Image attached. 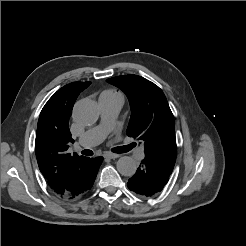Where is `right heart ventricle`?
Wrapping results in <instances>:
<instances>
[{
  "mask_svg": "<svg viewBox=\"0 0 246 246\" xmlns=\"http://www.w3.org/2000/svg\"><path fill=\"white\" fill-rule=\"evenodd\" d=\"M102 94L111 95V96H121V94L118 91L112 89L106 90Z\"/></svg>",
  "mask_w": 246,
  "mask_h": 246,
  "instance_id": "right-heart-ventricle-1",
  "label": "right heart ventricle"
}]
</instances>
